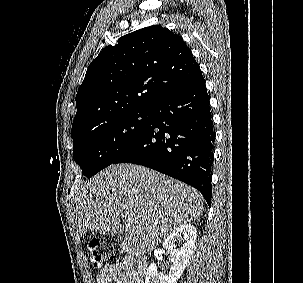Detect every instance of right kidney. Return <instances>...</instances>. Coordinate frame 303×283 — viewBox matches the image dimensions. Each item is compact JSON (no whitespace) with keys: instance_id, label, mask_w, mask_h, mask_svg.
I'll list each match as a JSON object with an SVG mask.
<instances>
[{"instance_id":"ca27d5eb","label":"right kidney","mask_w":303,"mask_h":283,"mask_svg":"<svg viewBox=\"0 0 303 283\" xmlns=\"http://www.w3.org/2000/svg\"><path fill=\"white\" fill-rule=\"evenodd\" d=\"M196 237L197 230L191 224H183L170 233L163 243V248L171 257L169 275L159 274L156 264L152 263L147 268L145 283H177L193 254ZM176 242H179L180 248L176 249Z\"/></svg>"}]
</instances>
